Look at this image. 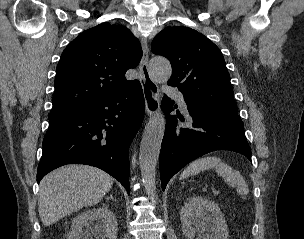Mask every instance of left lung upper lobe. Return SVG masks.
Masks as SVG:
<instances>
[{
    "mask_svg": "<svg viewBox=\"0 0 304 239\" xmlns=\"http://www.w3.org/2000/svg\"><path fill=\"white\" fill-rule=\"evenodd\" d=\"M152 52L170 61L168 85L177 87L187 104L238 115L222 53L203 34L188 27H167L154 38Z\"/></svg>",
    "mask_w": 304,
    "mask_h": 239,
    "instance_id": "1",
    "label": "left lung upper lobe"
}]
</instances>
